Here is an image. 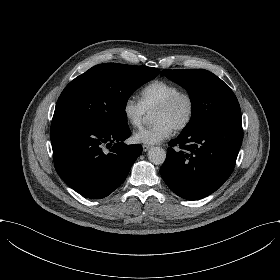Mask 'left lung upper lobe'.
<instances>
[{
    "label": "left lung upper lobe",
    "instance_id": "1",
    "mask_svg": "<svg viewBox=\"0 0 280 280\" xmlns=\"http://www.w3.org/2000/svg\"><path fill=\"white\" fill-rule=\"evenodd\" d=\"M162 75L184 87L190 95L192 116L182 132H189L217 119L241 115L240 106L233 91L210 71L203 69L163 70Z\"/></svg>",
    "mask_w": 280,
    "mask_h": 280
}]
</instances>
